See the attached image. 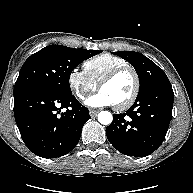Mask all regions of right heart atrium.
I'll use <instances>...</instances> for the list:
<instances>
[{"instance_id": "obj_1", "label": "right heart atrium", "mask_w": 193, "mask_h": 193, "mask_svg": "<svg viewBox=\"0 0 193 193\" xmlns=\"http://www.w3.org/2000/svg\"><path fill=\"white\" fill-rule=\"evenodd\" d=\"M67 81L70 90L79 100H84L96 89V84L90 80L84 71L77 68L69 72Z\"/></svg>"}]
</instances>
